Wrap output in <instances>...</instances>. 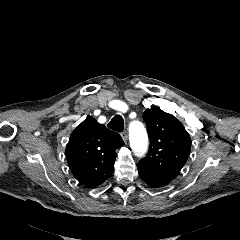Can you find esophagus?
Returning <instances> with one entry per match:
<instances>
[{
	"label": "esophagus",
	"instance_id": "1",
	"mask_svg": "<svg viewBox=\"0 0 240 240\" xmlns=\"http://www.w3.org/2000/svg\"><path fill=\"white\" fill-rule=\"evenodd\" d=\"M121 137H122L124 142H127V140H128V132H127V130L122 132Z\"/></svg>",
	"mask_w": 240,
	"mask_h": 240
}]
</instances>
